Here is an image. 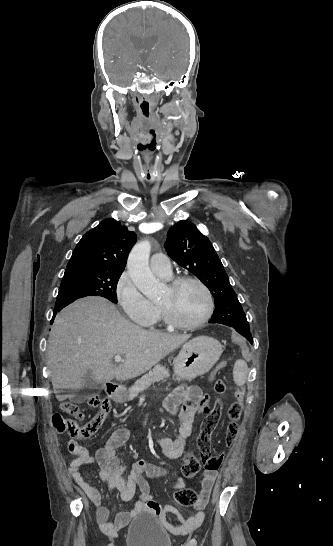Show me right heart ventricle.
Listing matches in <instances>:
<instances>
[{"mask_svg":"<svg viewBox=\"0 0 333 546\" xmlns=\"http://www.w3.org/2000/svg\"><path fill=\"white\" fill-rule=\"evenodd\" d=\"M158 318H159V309H158V315H157L156 319L153 321L152 324H155L158 321Z\"/></svg>","mask_w":333,"mask_h":546,"instance_id":"e07e8e85","label":"right heart ventricle"}]
</instances>
